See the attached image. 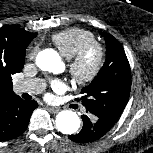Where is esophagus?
<instances>
[{
    "label": "esophagus",
    "mask_w": 153,
    "mask_h": 153,
    "mask_svg": "<svg viewBox=\"0 0 153 153\" xmlns=\"http://www.w3.org/2000/svg\"><path fill=\"white\" fill-rule=\"evenodd\" d=\"M48 111L55 114L58 113L60 111L59 107H47Z\"/></svg>",
    "instance_id": "esophagus-1"
}]
</instances>
